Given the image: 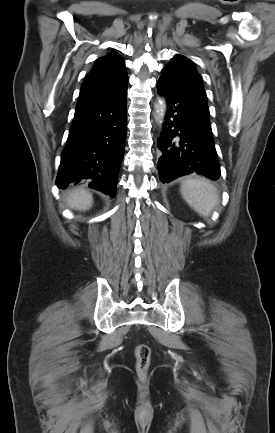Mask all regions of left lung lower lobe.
I'll return each instance as SVG.
<instances>
[{
  "mask_svg": "<svg viewBox=\"0 0 275 433\" xmlns=\"http://www.w3.org/2000/svg\"><path fill=\"white\" fill-rule=\"evenodd\" d=\"M157 91L165 95L168 105L158 140L162 152L158 159L161 182L191 173L219 179L220 164L207 107L163 78L157 83Z\"/></svg>",
  "mask_w": 275,
  "mask_h": 433,
  "instance_id": "1",
  "label": "left lung lower lobe"
}]
</instances>
